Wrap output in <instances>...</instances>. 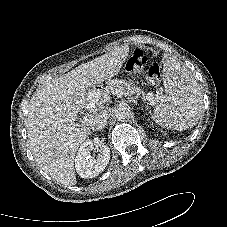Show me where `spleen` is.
I'll return each instance as SVG.
<instances>
[{
  "label": "spleen",
  "instance_id": "1",
  "mask_svg": "<svg viewBox=\"0 0 227 227\" xmlns=\"http://www.w3.org/2000/svg\"><path fill=\"white\" fill-rule=\"evenodd\" d=\"M165 95L153 111L152 118L162 127L176 130L192 128L203 113L199 87L178 61L165 59L163 68Z\"/></svg>",
  "mask_w": 227,
  "mask_h": 227
}]
</instances>
